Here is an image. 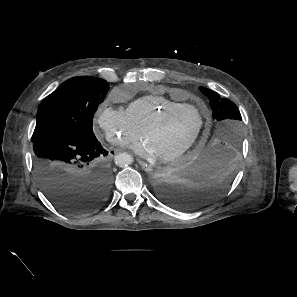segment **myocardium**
I'll use <instances>...</instances> for the list:
<instances>
[{
  "instance_id": "f54148a6",
  "label": "myocardium",
  "mask_w": 297,
  "mask_h": 297,
  "mask_svg": "<svg viewBox=\"0 0 297 297\" xmlns=\"http://www.w3.org/2000/svg\"><path fill=\"white\" fill-rule=\"evenodd\" d=\"M186 108L193 109L198 113V115H199L198 127H197L196 131L194 132V134L191 136V138L183 146H181L176 151H173L171 153L161 156L160 159L162 161H173V160L181 157L183 154H185L191 147H193L197 143V141L201 135V132L203 130L204 124H205L204 115L200 112L198 107L191 105V104L184 103V104H180L177 106L168 107L162 111H159L147 122V124L141 130L142 135L145 136L146 133L150 129L159 125L166 117H168L169 115H171L177 111H180V110L186 109Z\"/></svg>"
}]
</instances>
